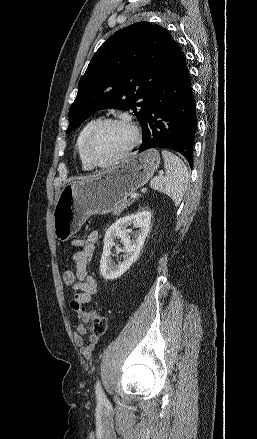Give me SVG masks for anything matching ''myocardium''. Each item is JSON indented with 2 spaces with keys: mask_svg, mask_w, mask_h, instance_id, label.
<instances>
[{
  "mask_svg": "<svg viewBox=\"0 0 257 439\" xmlns=\"http://www.w3.org/2000/svg\"><path fill=\"white\" fill-rule=\"evenodd\" d=\"M112 124L122 125V126H126L127 128H129L131 130V133H132L131 141L128 144V146L121 153H119L117 156H115L113 159L106 161V162H98L92 157V155L90 153L91 143H92L94 137L96 136V134L103 127H105L107 125H112ZM140 139H141V135H140L139 128L131 120L125 119V118L102 119V120L98 121L91 128V130L88 132V134L84 140V146H83L84 156H85L86 160L88 161V163L92 167L99 168V169L108 168V167L113 166L117 162L121 161L125 157H127L135 149V147L139 144Z\"/></svg>",
  "mask_w": 257,
  "mask_h": 439,
  "instance_id": "1",
  "label": "myocardium"
}]
</instances>
